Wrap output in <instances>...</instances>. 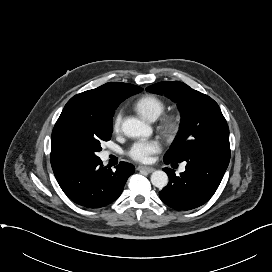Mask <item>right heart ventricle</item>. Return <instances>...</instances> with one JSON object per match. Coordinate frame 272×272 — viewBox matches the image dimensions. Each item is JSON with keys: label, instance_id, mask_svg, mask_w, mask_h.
Listing matches in <instances>:
<instances>
[{"label": "right heart ventricle", "instance_id": "right-heart-ventricle-1", "mask_svg": "<svg viewBox=\"0 0 272 272\" xmlns=\"http://www.w3.org/2000/svg\"><path fill=\"white\" fill-rule=\"evenodd\" d=\"M135 109L145 119L154 121L164 112L165 103L157 96L145 95L136 101Z\"/></svg>", "mask_w": 272, "mask_h": 272}]
</instances>
